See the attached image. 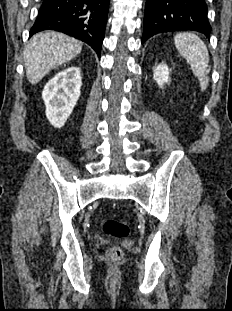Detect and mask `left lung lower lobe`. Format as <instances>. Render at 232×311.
<instances>
[{
    "mask_svg": "<svg viewBox=\"0 0 232 311\" xmlns=\"http://www.w3.org/2000/svg\"><path fill=\"white\" fill-rule=\"evenodd\" d=\"M193 30L209 38L211 26L204 0H147L142 43L151 36L171 31Z\"/></svg>",
    "mask_w": 232,
    "mask_h": 311,
    "instance_id": "0a47b994",
    "label": "left lung lower lobe"
}]
</instances>
